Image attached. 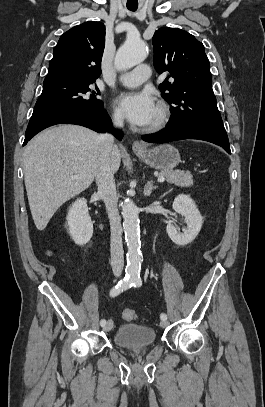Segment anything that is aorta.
Wrapping results in <instances>:
<instances>
[{"instance_id": "aorta-1", "label": "aorta", "mask_w": 265, "mask_h": 407, "mask_svg": "<svg viewBox=\"0 0 265 407\" xmlns=\"http://www.w3.org/2000/svg\"><path fill=\"white\" fill-rule=\"evenodd\" d=\"M148 54L146 44L137 39L128 38L116 53L114 65L117 70H127L143 62ZM122 215L124 218L123 228L127 244V265L126 274L137 276L140 272L142 254L139 229V211L134 202L126 199L122 206Z\"/></svg>"}]
</instances>
